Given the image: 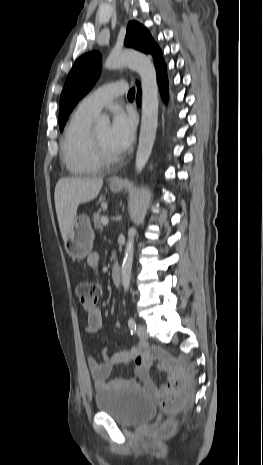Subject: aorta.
I'll use <instances>...</instances> for the list:
<instances>
[{"label": "aorta", "mask_w": 263, "mask_h": 465, "mask_svg": "<svg viewBox=\"0 0 263 465\" xmlns=\"http://www.w3.org/2000/svg\"><path fill=\"white\" fill-rule=\"evenodd\" d=\"M128 66L135 70L141 79L142 85V117L139 135V144L136 153L135 170L141 173L152 153L158 126V84L157 74L152 59L138 51L123 50L112 52L105 61L107 69H116ZM109 118L102 115L98 118L99 125H108ZM135 228L128 230V240L122 263V285L128 291L131 280Z\"/></svg>", "instance_id": "1"}]
</instances>
